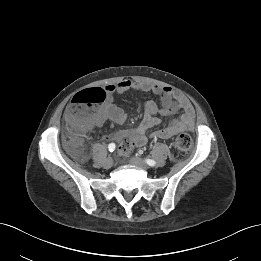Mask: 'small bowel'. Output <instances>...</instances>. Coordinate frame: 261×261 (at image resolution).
<instances>
[{"instance_id":"c3829d8e","label":"small bowel","mask_w":261,"mask_h":261,"mask_svg":"<svg viewBox=\"0 0 261 261\" xmlns=\"http://www.w3.org/2000/svg\"><path fill=\"white\" fill-rule=\"evenodd\" d=\"M129 91L152 93L159 97V102L148 101L145 104L144 115L140 124L133 129L119 130L110 136L111 139L121 141L128 139L135 147H142L148 141L147 131L160 127L152 132L153 139H169L183 131H192L194 128V111L189 100L170 87H164L148 82L122 80L117 84L106 87L107 97L104 103L92 114L87 131H92L110 121L114 124H122L126 120L125 111L114 102L115 94H123ZM180 114L163 125V121L157 115L162 116Z\"/></svg>"}]
</instances>
